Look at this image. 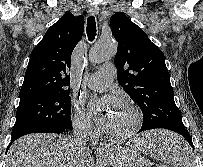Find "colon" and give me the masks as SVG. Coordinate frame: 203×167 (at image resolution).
<instances>
[{"label":"colon","instance_id":"obj_1","mask_svg":"<svg viewBox=\"0 0 203 167\" xmlns=\"http://www.w3.org/2000/svg\"><path fill=\"white\" fill-rule=\"evenodd\" d=\"M159 167H168V166H166V165H161V166H159Z\"/></svg>","mask_w":203,"mask_h":167}]
</instances>
